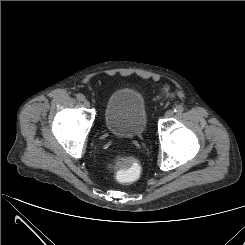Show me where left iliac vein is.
Listing matches in <instances>:
<instances>
[{
  "label": "left iliac vein",
  "mask_w": 245,
  "mask_h": 245,
  "mask_svg": "<svg viewBox=\"0 0 245 245\" xmlns=\"http://www.w3.org/2000/svg\"><path fill=\"white\" fill-rule=\"evenodd\" d=\"M174 115V111L173 110H167L166 112H165V114H164V116L166 117V118H170V117H172Z\"/></svg>",
  "instance_id": "left-iliac-vein-1"
}]
</instances>
